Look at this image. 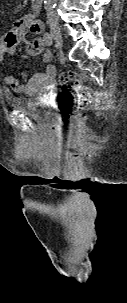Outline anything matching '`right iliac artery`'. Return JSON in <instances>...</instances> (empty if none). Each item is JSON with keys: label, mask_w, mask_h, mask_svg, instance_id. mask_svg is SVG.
<instances>
[{"label": "right iliac artery", "mask_w": 127, "mask_h": 303, "mask_svg": "<svg viewBox=\"0 0 127 303\" xmlns=\"http://www.w3.org/2000/svg\"><path fill=\"white\" fill-rule=\"evenodd\" d=\"M46 45L51 46L53 43V37L49 32H46L43 36Z\"/></svg>", "instance_id": "1"}]
</instances>
